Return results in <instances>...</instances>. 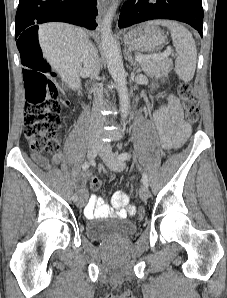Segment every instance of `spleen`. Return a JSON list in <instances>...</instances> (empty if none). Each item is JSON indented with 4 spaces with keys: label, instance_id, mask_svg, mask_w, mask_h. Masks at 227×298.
Instances as JSON below:
<instances>
[{
    "label": "spleen",
    "instance_id": "1",
    "mask_svg": "<svg viewBox=\"0 0 227 298\" xmlns=\"http://www.w3.org/2000/svg\"><path fill=\"white\" fill-rule=\"evenodd\" d=\"M152 23L166 26L170 30L172 42L177 52L175 71L183 81H191L196 68L197 49L190 31L175 21L157 20Z\"/></svg>",
    "mask_w": 227,
    "mask_h": 298
}]
</instances>
